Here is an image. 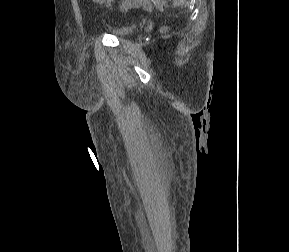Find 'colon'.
<instances>
[{"label":"colon","instance_id":"colon-1","mask_svg":"<svg viewBox=\"0 0 289 252\" xmlns=\"http://www.w3.org/2000/svg\"><path fill=\"white\" fill-rule=\"evenodd\" d=\"M134 7H143L149 10L151 5L149 0H124L121 5V9L124 11Z\"/></svg>","mask_w":289,"mask_h":252}]
</instances>
